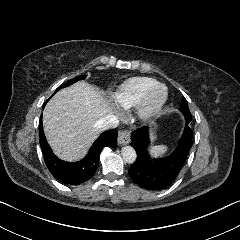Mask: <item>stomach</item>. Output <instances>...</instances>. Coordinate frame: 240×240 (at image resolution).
Wrapping results in <instances>:
<instances>
[{"label": "stomach", "instance_id": "0dacf381", "mask_svg": "<svg viewBox=\"0 0 240 240\" xmlns=\"http://www.w3.org/2000/svg\"><path fill=\"white\" fill-rule=\"evenodd\" d=\"M148 139L149 142H156L158 139V123L155 121H151L148 124Z\"/></svg>", "mask_w": 240, "mask_h": 240}]
</instances>
